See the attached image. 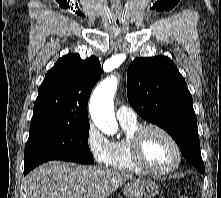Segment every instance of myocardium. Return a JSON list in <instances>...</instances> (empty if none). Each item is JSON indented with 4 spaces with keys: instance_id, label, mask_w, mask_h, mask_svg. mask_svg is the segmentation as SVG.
<instances>
[{
    "instance_id": "f54148a6",
    "label": "myocardium",
    "mask_w": 221,
    "mask_h": 198,
    "mask_svg": "<svg viewBox=\"0 0 221 198\" xmlns=\"http://www.w3.org/2000/svg\"><path fill=\"white\" fill-rule=\"evenodd\" d=\"M150 131H157L163 134L165 137L168 138V140L172 143L175 151H176V161L175 163L166 169H156L152 166H150L145 158H144V153H143V142L145 135L150 132ZM130 145H131V151L133 155V159L135 163L141 168L142 171L156 175V176H163V175H168L176 171L183 158L182 150L181 147L176 140V138L164 127L156 125V124H147L140 126L132 135L131 140H130Z\"/></svg>"
}]
</instances>
